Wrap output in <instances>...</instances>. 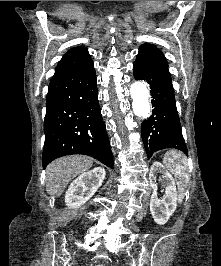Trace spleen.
Instances as JSON below:
<instances>
[{
	"label": "spleen",
	"instance_id": "spleen-1",
	"mask_svg": "<svg viewBox=\"0 0 221 266\" xmlns=\"http://www.w3.org/2000/svg\"><path fill=\"white\" fill-rule=\"evenodd\" d=\"M163 163L175 176L177 186L182 195L189 184L188 160L181 152L170 150L165 153Z\"/></svg>",
	"mask_w": 221,
	"mask_h": 266
}]
</instances>
